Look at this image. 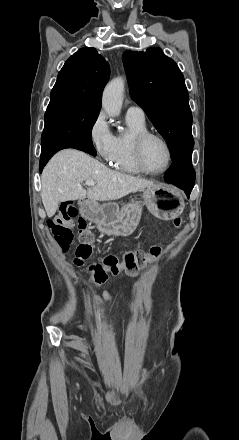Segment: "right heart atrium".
Here are the masks:
<instances>
[{
    "mask_svg": "<svg viewBox=\"0 0 239 440\" xmlns=\"http://www.w3.org/2000/svg\"><path fill=\"white\" fill-rule=\"evenodd\" d=\"M87 137L95 153L110 162L116 152V136L112 133L103 111L93 118L88 126Z\"/></svg>",
    "mask_w": 239,
    "mask_h": 440,
    "instance_id": "right-heart-atrium-1",
    "label": "right heart atrium"
}]
</instances>
